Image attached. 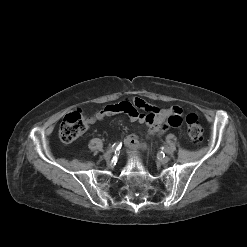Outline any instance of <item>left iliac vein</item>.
Instances as JSON below:
<instances>
[{
	"label": "left iliac vein",
	"mask_w": 247,
	"mask_h": 247,
	"mask_svg": "<svg viewBox=\"0 0 247 247\" xmlns=\"http://www.w3.org/2000/svg\"><path fill=\"white\" fill-rule=\"evenodd\" d=\"M159 161H160L162 164H166L167 162L170 161V157H169V156L160 157V158H159Z\"/></svg>",
	"instance_id": "obj_1"
}]
</instances>
